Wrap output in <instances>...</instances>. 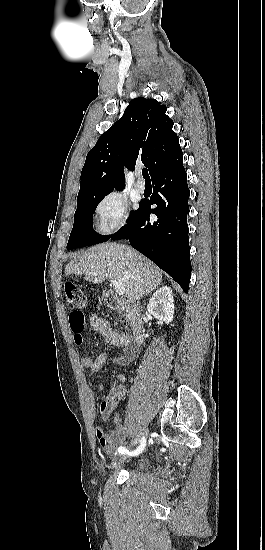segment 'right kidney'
<instances>
[{
    "instance_id": "right-kidney-1",
    "label": "right kidney",
    "mask_w": 265,
    "mask_h": 550,
    "mask_svg": "<svg viewBox=\"0 0 265 550\" xmlns=\"http://www.w3.org/2000/svg\"><path fill=\"white\" fill-rule=\"evenodd\" d=\"M147 311L160 321L169 324L174 316V300L169 286L159 288L149 300Z\"/></svg>"
}]
</instances>
